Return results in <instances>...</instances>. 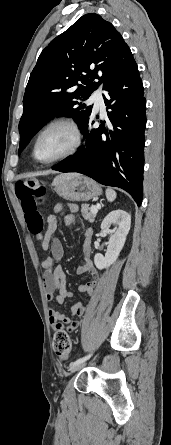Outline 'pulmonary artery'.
I'll list each match as a JSON object with an SVG mask.
<instances>
[{
	"mask_svg": "<svg viewBox=\"0 0 171 445\" xmlns=\"http://www.w3.org/2000/svg\"><path fill=\"white\" fill-rule=\"evenodd\" d=\"M90 101L94 103V105L97 109H104V100H103L101 91L95 92L92 95Z\"/></svg>",
	"mask_w": 171,
	"mask_h": 445,
	"instance_id": "1",
	"label": "pulmonary artery"
}]
</instances>
